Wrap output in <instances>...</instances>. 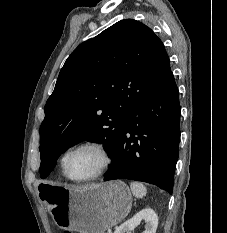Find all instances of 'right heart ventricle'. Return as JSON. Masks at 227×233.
I'll return each instance as SVG.
<instances>
[{
	"label": "right heart ventricle",
	"instance_id": "1",
	"mask_svg": "<svg viewBox=\"0 0 227 233\" xmlns=\"http://www.w3.org/2000/svg\"><path fill=\"white\" fill-rule=\"evenodd\" d=\"M67 152H68V151H66V152L62 155L61 160H60L61 172H62L63 175H64V160H65V157H66Z\"/></svg>",
	"mask_w": 227,
	"mask_h": 233
}]
</instances>
